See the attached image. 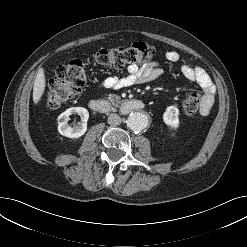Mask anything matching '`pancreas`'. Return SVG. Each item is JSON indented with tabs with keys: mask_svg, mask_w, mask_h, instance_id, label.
Listing matches in <instances>:
<instances>
[{
	"mask_svg": "<svg viewBox=\"0 0 247 247\" xmlns=\"http://www.w3.org/2000/svg\"><path fill=\"white\" fill-rule=\"evenodd\" d=\"M108 101L114 105V106H119V104H121V97L117 94H109L107 97Z\"/></svg>",
	"mask_w": 247,
	"mask_h": 247,
	"instance_id": "pancreas-1",
	"label": "pancreas"
}]
</instances>
